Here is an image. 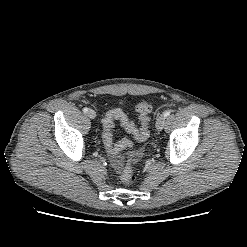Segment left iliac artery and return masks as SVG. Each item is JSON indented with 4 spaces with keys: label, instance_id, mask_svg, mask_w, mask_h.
I'll list each match as a JSON object with an SVG mask.
<instances>
[{
    "label": "left iliac artery",
    "instance_id": "1",
    "mask_svg": "<svg viewBox=\"0 0 247 247\" xmlns=\"http://www.w3.org/2000/svg\"><path fill=\"white\" fill-rule=\"evenodd\" d=\"M170 114H171V111L168 110V111L164 112L163 116L166 118V117H168Z\"/></svg>",
    "mask_w": 247,
    "mask_h": 247
}]
</instances>
